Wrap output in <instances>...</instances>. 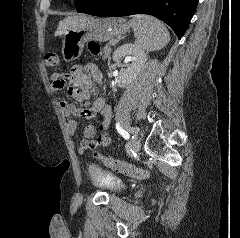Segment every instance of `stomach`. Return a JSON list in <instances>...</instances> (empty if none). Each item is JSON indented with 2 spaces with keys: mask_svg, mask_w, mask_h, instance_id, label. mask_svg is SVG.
Returning a JSON list of instances; mask_svg holds the SVG:
<instances>
[{
  "mask_svg": "<svg viewBox=\"0 0 240 238\" xmlns=\"http://www.w3.org/2000/svg\"><path fill=\"white\" fill-rule=\"evenodd\" d=\"M130 24L123 18H88L79 27L66 31L62 39L61 55L64 61L79 58L87 41L105 42L126 33Z\"/></svg>",
  "mask_w": 240,
  "mask_h": 238,
  "instance_id": "1",
  "label": "stomach"
}]
</instances>
